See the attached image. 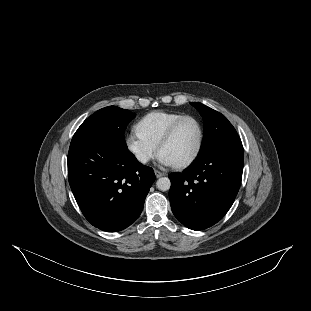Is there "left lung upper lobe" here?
<instances>
[{"label": "left lung upper lobe", "instance_id": "1", "mask_svg": "<svg viewBox=\"0 0 311 311\" xmlns=\"http://www.w3.org/2000/svg\"><path fill=\"white\" fill-rule=\"evenodd\" d=\"M191 104L204 118V137L196 160L224 147L242 144L235 128L224 115L199 102H192Z\"/></svg>", "mask_w": 311, "mask_h": 311}]
</instances>
